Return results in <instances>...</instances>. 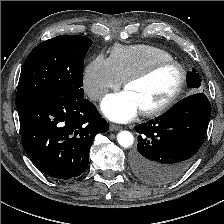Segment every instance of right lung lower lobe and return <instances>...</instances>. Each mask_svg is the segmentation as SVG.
I'll return each instance as SVG.
<instances>
[{"mask_svg": "<svg viewBox=\"0 0 224 224\" xmlns=\"http://www.w3.org/2000/svg\"><path fill=\"white\" fill-rule=\"evenodd\" d=\"M17 110L26 154L40 171L57 179L81 175L95 136L109 129L94 104L84 97L42 94Z\"/></svg>", "mask_w": 224, "mask_h": 224, "instance_id": "98d812e1", "label": "right lung lower lobe"}]
</instances>
